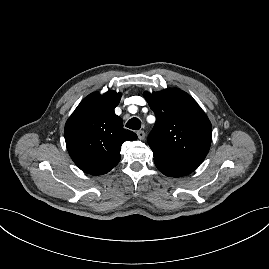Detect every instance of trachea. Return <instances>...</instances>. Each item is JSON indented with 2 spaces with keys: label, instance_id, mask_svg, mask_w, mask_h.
Instances as JSON below:
<instances>
[{
  "label": "trachea",
  "instance_id": "obj_1",
  "mask_svg": "<svg viewBox=\"0 0 269 269\" xmlns=\"http://www.w3.org/2000/svg\"><path fill=\"white\" fill-rule=\"evenodd\" d=\"M126 127L132 130H139L141 128V121L133 117L126 123Z\"/></svg>",
  "mask_w": 269,
  "mask_h": 269
}]
</instances>
